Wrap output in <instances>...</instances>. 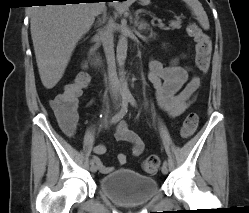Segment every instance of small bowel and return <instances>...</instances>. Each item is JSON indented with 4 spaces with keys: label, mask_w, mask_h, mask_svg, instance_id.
Returning a JSON list of instances; mask_svg holds the SVG:
<instances>
[{
    "label": "small bowel",
    "mask_w": 249,
    "mask_h": 213,
    "mask_svg": "<svg viewBox=\"0 0 249 213\" xmlns=\"http://www.w3.org/2000/svg\"><path fill=\"white\" fill-rule=\"evenodd\" d=\"M190 68L173 62L169 66H164L160 61L152 59L149 63L148 78L155 88L156 101L159 108L166 112L170 118L182 115L190 106L200 87V80L197 76H189ZM63 130L72 135L75 131L77 120L73 125H66L60 122ZM115 138L131 144V153L134 157H139L144 152V141L136 132L129 128L126 121H120L115 127ZM94 159L101 173H110L113 168L105 166L100 159V155L106 152L103 144H97L92 149ZM127 155L119 153L117 162L125 164Z\"/></svg>",
    "instance_id": "1"
}]
</instances>
